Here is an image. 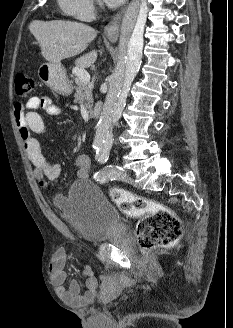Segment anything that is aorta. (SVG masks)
Returning <instances> with one entry per match:
<instances>
[{
  "instance_id": "obj_1",
  "label": "aorta",
  "mask_w": 233,
  "mask_h": 328,
  "mask_svg": "<svg viewBox=\"0 0 233 328\" xmlns=\"http://www.w3.org/2000/svg\"><path fill=\"white\" fill-rule=\"evenodd\" d=\"M147 13L146 0H133L122 18L118 62L109 78L108 93L96 126L94 145L97 149L112 147L113 126L122 115L130 85L141 65Z\"/></svg>"
}]
</instances>
